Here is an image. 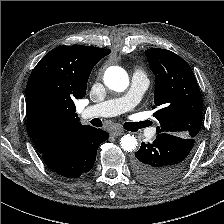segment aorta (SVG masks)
I'll return each instance as SVG.
<instances>
[{
    "instance_id": "1",
    "label": "aorta",
    "mask_w": 224,
    "mask_h": 224,
    "mask_svg": "<svg viewBox=\"0 0 224 224\" xmlns=\"http://www.w3.org/2000/svg\"><path fill=\"white\" fill-rule=\"evenodd\" d=\"M104 83L110 89L117 92H122L129 85L128 74L122 67H108L104 73ZM120 145L124 151L132 152L136 149L138 143L136 137L127 134L121 138Z\"/></svg>"
}]
</instances>
